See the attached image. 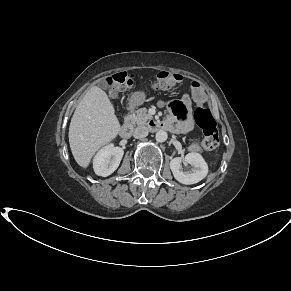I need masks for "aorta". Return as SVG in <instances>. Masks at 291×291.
<instances>
[{
	"label": "aorta",
	"instance_id": "762f6f07",
	"mask_svg": "<svg viewBox=\"0 0 291 291\" xmlns=\"http://www.w3.org/2000/svg\"><path fill=\"white\" fill-rule=\"evenodd\" d=\"M167 137V132L163 130L158 131L155 135L156 141L159 143L165 142L167 140Z\"/></svg>",
	"mask_w": 291,
	"mask_h": 291
}]
</instances>
